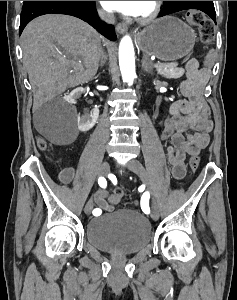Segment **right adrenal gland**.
<instances>
[{"label":"right adrenal gland","instance_id":"right-adrenal-gland-1","mask_svg":"<svg viewBox=\"0 0 237 300\" xmlns=\"http://www.w3.org/2000/svg\"><path fill=\"white\" fill-rule=\"evenodd\" d=\"M106 61H107V55H105V53H103L102 51V59L100 61V67H104Z\"/></svg>","mask_w":237,"mask_h":300}]
</instances>
